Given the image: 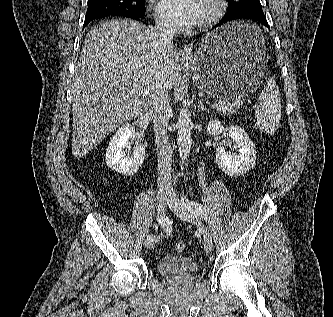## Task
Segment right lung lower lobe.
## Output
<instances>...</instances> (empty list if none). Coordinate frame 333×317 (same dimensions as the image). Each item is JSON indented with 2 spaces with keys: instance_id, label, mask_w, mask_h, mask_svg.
<instances>
[{
  "instance_id": "obj_1",
  "label": "right lung lower lobe",
  "mask_w": 333,
  "mask_h": 317,
  "mask_svg": "<svg viewBox=\"0 0 333 317\" xmlns=\"http://www.w3.org/2000/svg\"><path fill=\"white\" fill-rule=\"evenodd\" d=\"M110 15H117V16H125L128 18H133L136 20H139L142 16L139 15H127V14H122V15H118V14H103V15H97V16H85V21H84V26H86L90 21H92L95 18H100V17H104V16H110Z\"/></svg>"
}]
</instances>
